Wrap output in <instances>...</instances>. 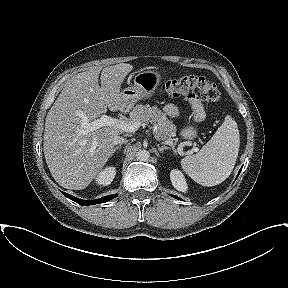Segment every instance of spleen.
Instances as JSON below:
<instances>
[{
  "instance_id": "3e777b00",
  "label": "spleen",
  "mask_w": 288,
  "mask_h": 288,
  "mask_svg": "<svg viewBox=\"0 0 288 288\" xmlns=\"http://www.w3.org/2000/svg\"><path fill=\"white\" fill-rule=\"evenodd\" d=\"M239 130L227 115L213 137L194 155L181 160L183 171L203 186L222 183L231 174L239 152Z\"/></svg>"
}]
</instances>
